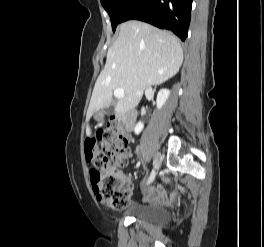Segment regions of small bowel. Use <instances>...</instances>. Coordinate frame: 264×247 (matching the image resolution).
I'll return each mask as SVG.
<instances>
[{"label": "small bowel", "mask_w": 264, "mask_h": 247, "mask_svg": "<svg viewBox=\"0 0 264 247\" xmlns=\"http://www.w3.org/2000/svg\"><path fill=\"white\" fill-rule=\"evenodd\" d=\"M144 200L147 202L169 201L165 195V190L161 185H156L147 189L144 195Z\"/></svg>", "instance_id": "obj_1"}]
</instances>
